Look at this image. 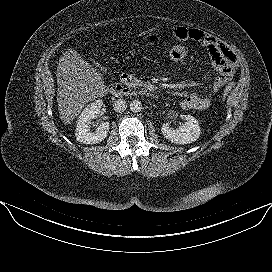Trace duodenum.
<instances>
[{
    "instance_id": "1",
    "label": "duodenum",
    "mask_w": 272,
    "mask_h": 272,
    "mask_svg": "<svg viewBox=\"0 0 272 272\" xmlns=\"http://www.w3.org/2000/svg\"><path fill=\"white\" fill-rule=\"evenodd\" d=\"M133 87H136L137 91H135ZM109 92L113 95L118 96L131 95L136 92L152 97L157 96L152 86L138 85L136 81L132 78V76L126 73H122L119 77V80L109 86Z\"/></svg>"
}]
</instances>
